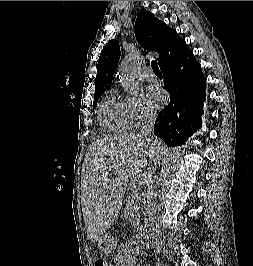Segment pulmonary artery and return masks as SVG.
<instances>
[{
    "instance_id": "obj_1",
    "label": "pulmonary artery",
    "mask_w": 253,
    "mask_h": 266,
    "mask_svg": "<svg viewBox=\"0 0 253 266\" xmlns=\"http://www.w3.org/2000/svg\"><path fill=\"white\" fill-rule=\"evenodd\" d=\"M143 76L148 81H152V82L157 81L156 74L154 73L151 67H147L143 70Z\"/></svg>"
}]
</instances>
